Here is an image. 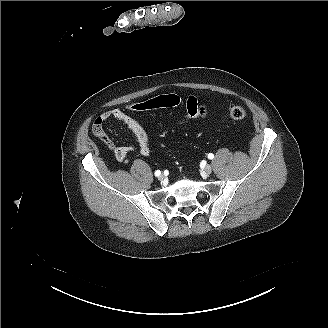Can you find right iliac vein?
Segmentation results:
<instances>
[{"instance_id": "1", "label": "right iliac vein", "mask_w": 328, "mask_h": 328, "mask_svg": "<svg viewBox=\"0 0 328 328\" xmlns=\"http://www.w3.org/2000/svg\"><path fill=\"white\" fill-rule=\"evenodd\" d=\"M164 178H165L164 175H159V176H158V179H159L160 181L164 180Z\"/></svg>"}]
</instances>
